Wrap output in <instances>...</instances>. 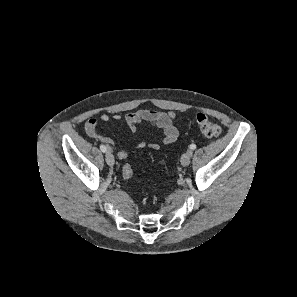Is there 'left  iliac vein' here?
I'll use <instances>...</instances> for the list:
<instances>
[{
	"label": "left iliac vein",
	"instance_id": "1",
	"mask_svg": "<svg viewBox=\"0 0 297 297\" xmlns=\"http://www.w3.org/2000/svg\"><path fill=\"white\" fill-rule=\"evenodd\" d=\"M191 155H192L191 151H188L182 155V157H181L182 166L186 167L190 164Z\"/></svg>",
	"mask_w": 297,
	"mask_h": 297
}]
</instances>
